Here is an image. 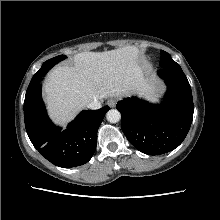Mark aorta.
Wrapping results in <instances>:
<instances>
[{
    "label": "aorta",
    "instance_id": "obj_1",
    "mask_svg": "<svg viewBox=\"0 0 220 220\" xmlns=\"http://www.w3.org/2000/svg\"><path fill=\"white\" fill-rule=\"evenodd\" d=\"M106 118L110 123H117L121 119V114L116 109H111L107 112Z\"/></svg>",
    "mask_w": 220,
    "mask_h": 220
}]
</instances>
